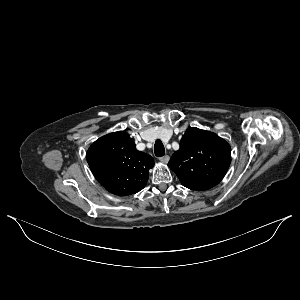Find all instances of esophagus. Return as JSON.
Listing matches in <instances>:
<instances>
[{
  "label": "esophagus",
  "mask_w": 300,
  "mask_h": 300,
  "mask_svg": "<svg viewBox=\"0 0 300 300\" xmlns=\"http://www.w3.org/2000/svg\"><path fill=\"white\" fill-rule=\"evenodd\" d=\"M170 157L168 155H164L162 157L159 158V160L162 162V163H168Z\"/></svg>",
  "instance_id": "obj_1"
}]
</instances>
